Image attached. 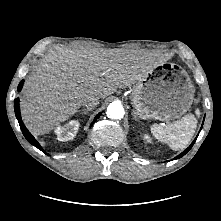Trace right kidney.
<instances>
[{
    "label": "right kidney",
    "instance_id": "right-kidney-1",
    "mask_svg": "<svg viewBox=\"0 0 221 221\" xmlns=\"http://www.w3.org/2000/svg\"><path fill=\"white\" fill-rule=\"evenodd\" d=\"M79 126L80 123L77 120H72L64 126L56 127L55 133L57 134V139L59 141L72 140L76 136Z\"/></svg>",
    "mask_w": 221,
    "mask_h": 221
}]
</instances>
